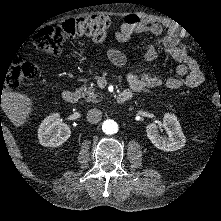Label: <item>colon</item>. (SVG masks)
<instances>
[{
    "mask_svg": "<svg viewBox=\"0 0 221 221\" xmlns=\"http://www.w3.org/2000/svg\"><path fill=\"white\" fill-rule=\"evenodd\" d=\"M124 23L140 25L141 20L135 15L126 16ZM114 19L108 15L99 14L88 17L71 18L55 26L43 27L35 35L33 46L50 55L60 53L62 45L67 40L86 37L93 42L102 41L108 34ZM37 69L28 61H17L12 64L6 80L8 88H17L22 82L34 78Z\"/></svg>",
    "mask_w": 221,
    "mask_h": 221,
    "instance_id": "colon-1",
    "label": "colon"
}]
</instances>
